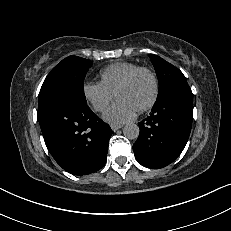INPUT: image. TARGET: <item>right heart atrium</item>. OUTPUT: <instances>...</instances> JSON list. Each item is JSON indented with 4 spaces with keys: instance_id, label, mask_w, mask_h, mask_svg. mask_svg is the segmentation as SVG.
<instances>
[{
    "instance_id": "obj_1",
    "label": "right heart atrium",
    "mask_w": 231,
    "mask_h": 231,
    "mask_svg": "<svg viewBox=\"0 0 231 231\" xmlns=\"http://www.w3.org/2000/svg\"><path fill=\"white\" fill-rule=\"evenodd\" d=\"M84 98L96 112H103L114 97V93L101 82L87 81L83 84Z\"/></svg>"
}]
</instances>
